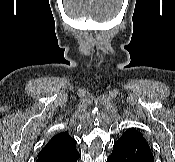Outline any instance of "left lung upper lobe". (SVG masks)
<instances>
[{
	"mask_svg": "<svg viewBox=\"0 0 175 162\" xmlns=\"http://www.w3.org/2000/svg\"><path fill=\"white\" fill-rule=\"evenodd\" d=\"M126 132H132V133H135L138 136L143 137V135L139 131H137L136 129H129Z\"/></svg>",
	"mask_w": 175,
	"mask_h": 162,
	"instance_id": "obj_1",
	"label": "left lung upper lobe"
}]
</instances>
